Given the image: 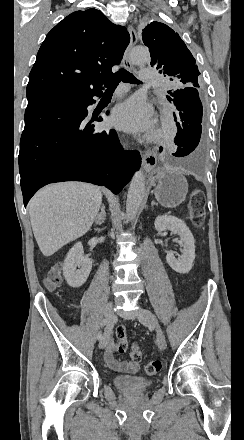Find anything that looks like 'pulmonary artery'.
Masks as SVG:
<instances>
[{"instance_id":"e3ab8cb5","label":"pulmonary artery","mask_w":244,"mask_h":440,"mask_svg":"<svg viewBox=\"0 0 244 440\" xmlns=\"http://www.w3.org/2000/svg\"><path fill=\"white\" fill-rule=\"evenodd\" d=\"M152 76V71L150 69H138L137 77L138 78H150Z\"/></svg>"}]
</instances>
